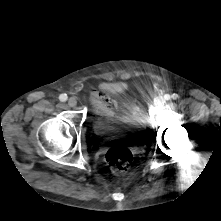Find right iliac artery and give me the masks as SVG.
I'll list each match as a JSON object with an SVG mask.
<instances>
[{
	"mask_svg": "<svg viewBox=\"0 0 221 221\" xmlns=\"http://www.w3.org/2000/svg\"><path fill=\"white\" fill-rule=\"evenodd\" d=\"M67 95L66 94H61L60 96H59V100L60 101H62V102H65L66 100H67Z\"/></svg>",
	"mask_w": 221,
	"mask_h": 221,
	"instance_id": "1",
	"label": "right iliac artery"
}]
</instances>
